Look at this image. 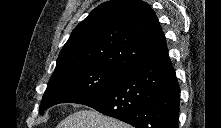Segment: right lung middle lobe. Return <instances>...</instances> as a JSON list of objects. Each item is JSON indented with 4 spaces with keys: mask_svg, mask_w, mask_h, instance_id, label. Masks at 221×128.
Instances as JSON below:
<instances>
[{
    "mask_svg": "<svg viewBox=\"0 0 221 128\" xmlns=\"http://www.w3.org/2000/svg\"><path fill=\"white\" fill-rule=\"evenodd\" d=\"M126 72L88 65L54 71L42 98L40 114L59 104L77 103L115 83Z\"/></svg>",
    "mask_w": 221,
    "mask_h": 128,
    "instance_id": "1",
    "label": "right lung middle lobe"
}]
</instances>
